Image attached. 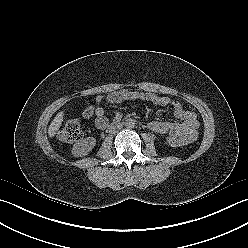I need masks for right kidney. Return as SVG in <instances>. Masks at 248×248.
I'll return each instance as SVG.
<instances>
[{
    "instance_id": "obj_1",
    "label": "right kidney",
    "mask_w": 248,
    "mask_h": 248,
    "mask_svg": "<svg viewBox=\"0 0 248 248\" xmlns=\"http://www.w3.org/2000/svg\"><path fill=\"white\" fill-rule=\"evenodd\" d=\"M95 145L96 139L94 137L81 139L73 145L72 154L75 157L85 156L93 149Z\"/></svg>"
}]
</instances>
